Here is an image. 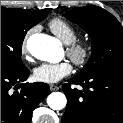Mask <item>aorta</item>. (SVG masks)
Listing matches in <instances>:
<instances>
[{"instance_id":"1","label":"aorta","mask_w":123,"mask_h":123,"mask_svg":"<svg viewBox=\"0 0 123 123\" xmlns=\"http://www.w3.org/2000/svg\"><path fill=\"white\" fill-rule=\"evenodd\" d=\"M27 50L39 60L54 62L60 51L58 41L46 34L36 33L29 36ZM66 96L61 92H53L47 97V104L53 110H61L66 106Z\"/></svg>"}]
</instances>
